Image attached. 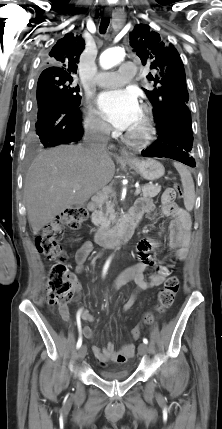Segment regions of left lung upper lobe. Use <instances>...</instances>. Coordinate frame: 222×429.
Segmentation results:
<instances>
[{"label":"left lung upper lobe","mask_w":222,"mask_h":429,"mask_svg":"<svg viewBox=\"0 0 222 429\" xmlns=\"http://www.w3.org/2000/svg\"><path fill=\"white\" fill-rule=\"evenodd\" d=\"M130 45L143 65L150 64L153 90L143 89L153 105L154 121L160 123L169 113L188 108L189 95L182 60L173 45L165 44L157 32L145 24L135 26L129 34Z\"/></svg>","instance_id":"1"}]
</instances>
